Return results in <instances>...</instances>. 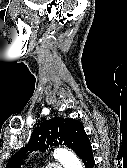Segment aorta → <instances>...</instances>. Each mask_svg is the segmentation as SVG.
I'll use <instances>...</instances> for the list:
<instances>
[{"instance_id": "762f6f07", "label": "aorta", "mask_w": 127, "mask_h": 168, "mask_svg": "<svg viewBox=\"0 0 127 168\" xmlns=\"http://www.w3.org/2000/svg\"><path fill=\"white\" fill-rule=\"evenodd\" d=\"M53 156L64 168H83L78 157L67 149L57 148L54 150Z\"/></svg>"}]
</instances>
